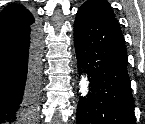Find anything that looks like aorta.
I'll list each match as a JSON object with an SVG mask.
<instances>
[{
	"label": "aorta",
	"mask_w": 145,
	"mask_h": 124,
	"mask_svg": "<svg viewBox=\"0 0 145 124\" xmlns=\"http://www.w3.org/2000/svg\"><path fill=\"white\" fill-rule=\"evenodd\" d=\"M89 91V81L87 76L81 75L80 83H79V93L81 96L85 97Z\"/></svg>",
	"instance_id": "obj_1"
}]
</instances>
